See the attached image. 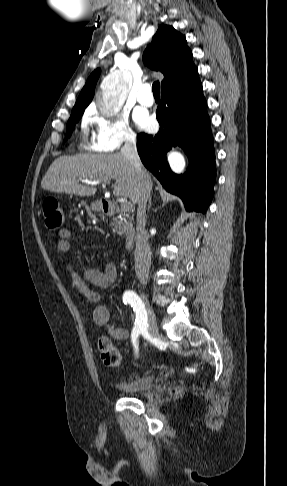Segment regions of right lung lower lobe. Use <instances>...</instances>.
<instances>
[{
	"instance_id": "obj_1",
	"label": "right lung lower lobe",
	"mask_w": 287,
	"mask_h": 486,
	"mask_svg": "<svg viewBox=\"0 0 287 486\" xmlns=\"http://www.w3.org/2000/svg\"><path fill=\"white\" fill-rule=\"evenodd\" d=\"M207 103L199 77L162 90L157 108L159 132L137 136V150L144 166L162 186L178 195L188 210L204 213L213 197L216 179L215 153ZM175 146L184 149L189 165L184 174H174L166 153Z\"/></svg>"
}]
</instances>
